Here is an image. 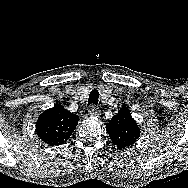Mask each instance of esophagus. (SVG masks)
<instances>
[{"label": "esophagus", "instance_id": "34e87169", "mask_svg": "<svg viewBox=\"0 0 188 188\" xmlns=\"http://www.w3.org/2000/svg\"><path fill=\"white\" fill-rule=\"evenodd\" d=\"M88 113L90 116H99L100 111L97 107L91 106L90 109L88 110Z\"/></svg>", "mask_w": 188, "mask_h": 188}]
</instances>
